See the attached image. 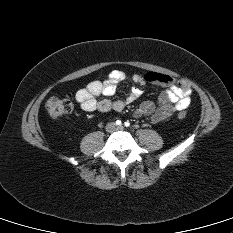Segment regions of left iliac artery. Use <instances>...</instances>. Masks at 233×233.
I'll list each match as a JSON object with an SVG mask.
<instances>
[{
    "mask_svg": "<svg viewBox=\"0 0 233 233\" xmlns=\"http://www.w3.org/2000/svg\"><path fill=\"white\" fill-rule=\"evenodd\" d=\"M124 125H125L126 127H129V126H130V123L127 121V122L124 123Z\"/></svg>",
    "mask_w": 233,
    "mask_h": 233,
    "instance_id": "left-iliac-artery-1",
    "label": "left iliac artery"
}]
</instances>
